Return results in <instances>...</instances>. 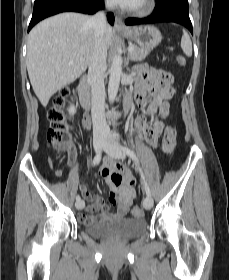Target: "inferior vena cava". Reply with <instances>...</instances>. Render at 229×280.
<instances>
[{
    "instance_id": "obj_1",
    "label": "inferior vena cava",
    "mask_w": 229,
    "mask_h": 280,
    "mask_svg": "<svg viewBox=\"0 0 229 280\" xmlns=\"http://www.w3.org/2000/svg\"><path fill=\"white\" fill-rule=\"evenodd\" d=\"M105 6L110 10L111 0H106ZM94 32L95 45L89 62L88 83L91 85L93 134L105 136L108 126L105 119V85L107 48L104 44V32L107 26L105 11H99L89 19Z\"/></svg>"
}]
</instances>
